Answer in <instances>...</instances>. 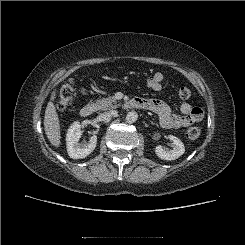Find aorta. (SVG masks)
Listing matches in <instances>:
<instances>
[{
    "label": "aorta",
    "mask_w": 245,
    "mask_h": 245,
    "mask_svg": "<svg viewBox=\"0 0 245 245\" xmlns=\"http://www.w3.org/2000/svg\"><path fill=\"white\" fill-rule=\"evenodd\" d=\"M137 119H138V114L134 111H131L126 115V121L128 123H134L137 121Z\"/></svg>",
    "instance_id": "obj_1"
}]
</instances>
